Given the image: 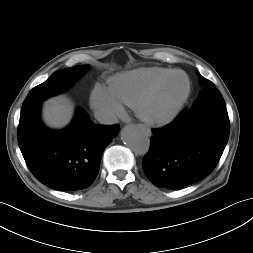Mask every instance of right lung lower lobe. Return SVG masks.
I'll use <instances>...</instances> for the list:
<instances>
[{"mask_svg": "<svg viewBox=\"0 0 253 253\" xmlns=\"http://www.w3.org/2000/svg\"><path fill=\"white\" fill-rule=\"evenodd\" d=\"M41 102L22 108L18 143L33 175L44 185L62 191L89 187L99 172L105 147L118 125H96L82 110L60 131L47 129L40 120Z\"/></svg>", "mask_w": 253, "mask_h": 253, "instance_id": "right-lung-lower-lobe-1", "label": "right lung lower lobe"}]
</instances>
